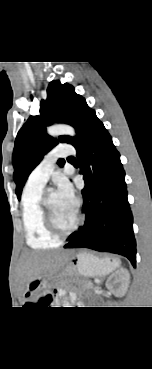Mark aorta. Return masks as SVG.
Returning a JSON list of instances; mask_svg holds the SVG:
<instances>
[{
	"mask_svg": "<svg viewBox=\"0 0 152 369\" xmlns=\"http://www.w3.org/2000/svg\"><path fill=\"white\" fill-rule=\"evenodd\" d=\"M47 133L53 137L59 136V135L75 136L74 128L66 124L52 125L47 128Z\"/></svg>",
	"mask_w": 152,
	"mask_h": 369,
	"instance_id": "762f6f07",
	"label": "aorta"
}]
</instances>
